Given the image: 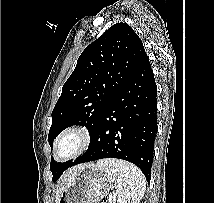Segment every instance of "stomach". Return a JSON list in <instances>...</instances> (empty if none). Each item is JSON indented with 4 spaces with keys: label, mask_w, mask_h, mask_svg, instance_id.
I'll return each mask as SVG.
<instances>
[{
    "label": "stomach",
    "mask_w": 214,
    "mask_h": 203,
    "mask_svg": "<svg viewBox=\"0 0 214 203\" xmlns=\"http://www.w3.org/2000/svg\"><path fill=\"white\" fill-rule=\"evenodd\" d=\"M110 186L107 173L95 164L87 163L79 168L74 180L62 190L56 203H98Z\"/></svg>",
    "instance_id": "0dacf381"
}]
</instances>
